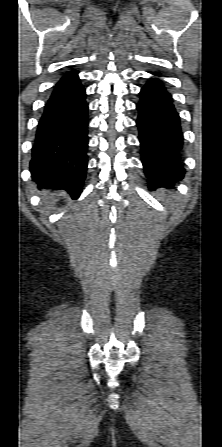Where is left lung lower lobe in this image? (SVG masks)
<instances>
[{
	"instance_id": "left-lung-lower-lobe-1",
	"label": "left lung lower lobe",
	"mask_w": 222,
	"mask_h": 447,
	"mask_svg": "<svg viewBox=\"0 0 222 447\" xmlns=\"http://www.w3.org/2000/svg\"><path fill=\"white\" fill-rule=\"evenodd\" d=\"M136 108L142 163L149 187H172L184 177V169L179 154L183 137L171 95L159 79L150 78L140 91Z\"/></svg>"
}]
</instances>
